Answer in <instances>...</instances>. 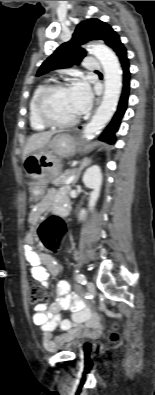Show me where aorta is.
Here are the masks:
<instances>
[{
    "mask_svg": "<svg viewBox=\"0 0 155 395\" xmlns=\"http://www.w3.org/2000/svg\"><path fill=\"white\" fill-rule=\"evenodd\" d=\"M88 51L100 61L103 67L105 90L101 105L84 128L83 138L85 139L94 137L110 121L118 105L122 89V71L114 52L101 44L89 48Z\"/></svg>",
    "mask_w": 155,
    "mask_h": 395,
    "instance_id": "762f6f07",
    "label": "aorta"
}]
</instances>
